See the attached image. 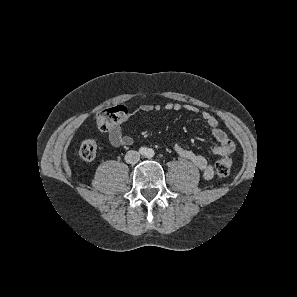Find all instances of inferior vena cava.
Here are the masks:
<instances>
[{"mask_svg": "<svg viewBox=\"0 0 297 297\" xmlns=\"http://www.w3.org/2000/svg\"><path fill=\"white\" fill-rule=\"evenodd\" d=\"M140 160V153L135 150H130L125 155V161L128 164H136Z\"/></svg>", "mask_w": 297, "mask_h": 297, "instance_id": "inferior-vena-cava-1", "label": "inferior vena cava"}]
</instances>
